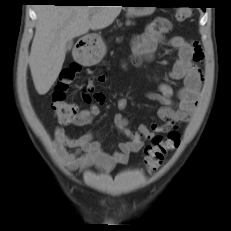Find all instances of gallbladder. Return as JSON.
Segmentation results:
<instances>
[{"label":"gallbladder","mask_w":231,"mask_h":231,"mask_svg":"<svg viewBox=\"0 0 231 231\" xmlns=\"http://www.w3.org/2000/svg\"><path fill=\"white\" fill-rule=\"evenodd\" d=\"M73 46V41L72 40H69L67 43H66V51H70L71 48Z\"/></svg>","instance_id":"1"}]
</instances>
